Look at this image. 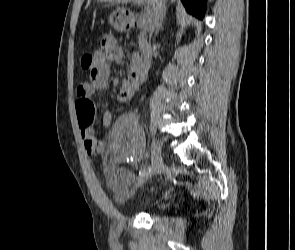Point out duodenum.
Segmentation results:
<instances>
[{"mask_svg": "<svg viewBox=\"0 0 295 250\" xmlns=\"http://www.w3.org/2000/svg\"><path fill=\"white\" fill-rule=\"evenodd\" d=\"M124 21H128L130 25L136 29L149 30L153 27V23L139 12H124ZM150 49L146 47L142 55H140L134 63L133 72L135 77L142 81L146 78L148 72Z\"/></svg>", "mask_w": 295, "mask_h": 250, "instance_id": "410a0bca", "label": "duodenum"}]
</instances>
